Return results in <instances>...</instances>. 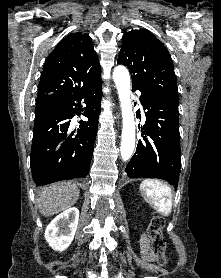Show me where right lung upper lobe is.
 <instances>
[{
	"instance_id": "cb5924a9",
	"label": "right lung upper lobe",
	"mask_w": 221,
	"mask_h": 278,
	"mask_svg": "<svg viewBox=\"0 0 221 278\" xmlns=\"http://www.w3.org/2000/svg\"><path fill=\"white\" fill-rule=\"evenodd\" d=\"M101 67L91 38L75 33L64 38L48 56L37 100L72 93L99 81Z\"/></svg>"
}]
</instances>
